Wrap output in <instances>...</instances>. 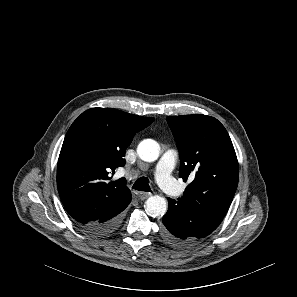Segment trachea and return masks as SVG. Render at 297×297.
<instances>
[{
  "mask_svg": "<svg viewBox=\"0 0 297 297\" xmlns=\"http://www.w3.org/2000/svg\"><path fill=\"white\" fill-rule=\"evenodd\" d=\"M133 189L138 191H145L150 192L149 180L146 177L139 178L134 185L132 186Z\"/></svg>",
  "mask_w": 297,
  "mask_h": 297,
  "instance_id": "3493384b",
  "label": "trachea"
}]
</instances>
